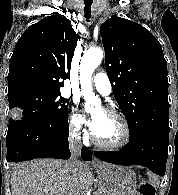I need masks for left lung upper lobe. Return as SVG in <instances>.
I'll use <instances>...</instances> for the list:
<instances>
[{
	"mask_svg": "<svg viewBox=\"0 0 178 195\" xmlns=\"http://www.w3.org/2000/svg\"><path fill=\"white\" fill-rule=\"evenodd\" d=\"M100 34L107 75L130 138L169 128L167 62L159 41L146 28L118 16L106 20Z\"/></svg>",
	"mask_w": 178,
	"mask_h": 195,
	"instance_id": "5c2ea615",
	"label": "left lung upper lobe"
}]
</instances>
